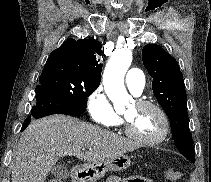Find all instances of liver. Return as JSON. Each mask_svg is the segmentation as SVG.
Segmentation results:
<instances>
[{
    "label": "liver",
    "instance_id": "6515ba94",
    "mask_svg": "<svg viewBox=\"0 0 211 182\" xmlns=\"http://www.w3.org/2000/svg\"><path fill=\"white\" fill-rule=\"evenodd\" d=\"M84 148L91 150L82 152ZM136 148L133 141L75 117L51 115L32 121L21 135L11 166L12 182H45L58 159L66 155L92 163Z\"/></svg>",
    "mask_w": 211,
    "mask_h": 182
}]
</instances>
